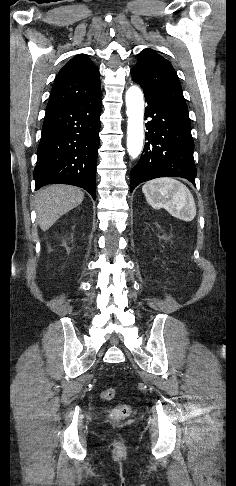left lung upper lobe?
<instances>
[{"label": "left lung upper lobe", "mask_w": 236, "mask_h": 486, "mask_svg": "<svg viewBox=\"0 0 236 486\" xmlns=\"http://www.w3.org/2000/svg\"><path fill=\"white\" fill-rule=\"evenodd\" d=\"M133 81L178 110L188 113L182 87L171 63L155 50L144 49L131 69Z\"/></svg>", "instance_id": "5c2ea615"}]
</instances>
